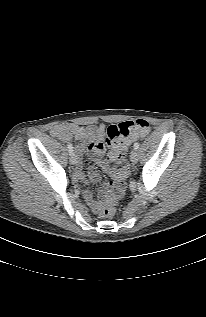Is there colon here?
Segmentation results:
<instances>
[{"mask_svg": "<svg viewBox=\"0 0 206 317\" xmlns=\"http://www.w3.org/2000/svg\"><path fill=\"white\" fill-rule=\"evenodd\" d=\"M150 131V124L144 119L124 121L111 125L107 131V143L113 149L112 161L122 165L121 168H111L110 174L113 178V195L118 197L124 189V179L128 174L126 166L125 150L131 141L145 137ZM97 211L103 217H111L114 207L110 204L101 205Z\"/></svg>", "mask_w": 206, "mask_h": 317, "instance_id": "colon-1", "label": "colon"}]
</instances>
